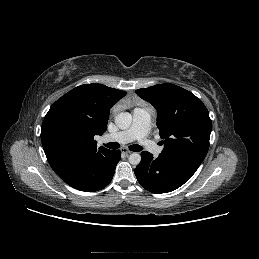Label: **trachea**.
I'll list each match as a JSON object with an SVG mask.
<instances>
[{
  "instance_id": "obj_1",
  "label": "trachea",
  "mask_w": 259,
  "mask_h": 259,
  "mask_svg": "<svg viewBox=\"0 0 259 259\" xmlns=\"http://www.w3.org/2000/svg\"><path fill=\"white\" fill-rule=\"evenodd\" d=\"M107 148L110 149H118L119 148V144L116 142H111L105 145ZM129 149L133 152H139L142 150V147L140 145H131L129 146Z\"/></svg>"
}]
</instances>
